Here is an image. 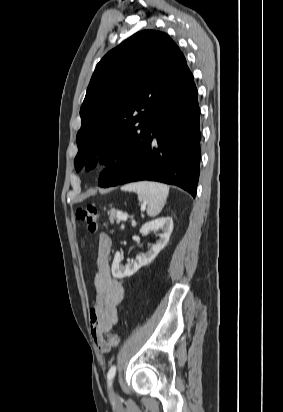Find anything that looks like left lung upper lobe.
Returning <instances> with one entry per match:
<instances>
[{
    "mask_svg": "<svg viewBox=\"0 0 283 412\" xmlns=\"http://www.w3.org/2000/svg\"><path fill=\"white\" fill-rule=\"evenodd\" d=\"M190 73L165 33L144 30L109 51L97 64L80 109L75 169L108 163L144 133Z\"/></svg>",
    "mask_w": 283,
    "mask_h": 412,
    "instance_id": "left-lung-upper-lobe-1",
    "label": "left lung upper lobe"
}]
</instances>
